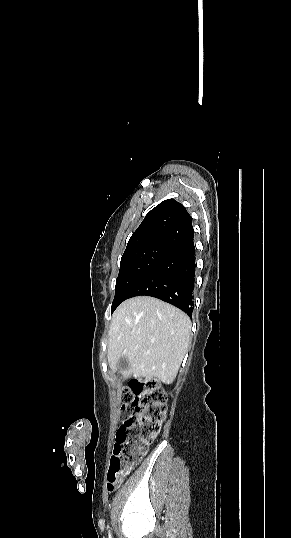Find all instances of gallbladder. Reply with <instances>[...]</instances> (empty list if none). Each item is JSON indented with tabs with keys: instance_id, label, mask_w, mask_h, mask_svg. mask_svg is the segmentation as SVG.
<instances>
[{
	"instance_id": "gallbladder-1",
	"label": "gallbladder",
	"mask_w": 291,
	"mask_h": 538,
	"mask_svg": "<svg viewBox=\"0 0 291 538\" xmlns=\"http://www.w3.org/2000/svg\"><path fill=\"white\" fill-rule=\"evenodd\" d=\"M117 366L119 370H127L128 369V361L125 357L118 358Z\"/></svg>"
}]
</instances>
